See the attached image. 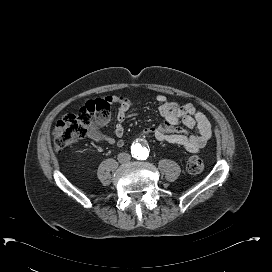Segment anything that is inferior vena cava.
Instances as JSON below:
<instances>
[{
  "label": "inferior vena cava",
  "instance_id": "obj_1",
  "mask_svg": "<svg viewBox=\"0 0 272 272\" xmlns=\"http://www.w3.org/2000/svg\"><path fill=\"white\" fill-rule=\"evenodd\" d=\"M117 159L120 163H126V162L130 161L131 157L127 153H119Z\"/></svg>",
  "mask_w": 272,
  "mask_h": 272
}]
</instances>
